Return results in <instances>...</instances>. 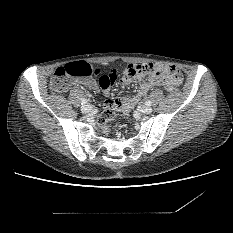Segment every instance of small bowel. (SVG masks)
Instances as JSON below:
<instances>
[{
	"label": "small bowel",
	"mask_w": 233,
	"mask_h": 233,
	"mask_svg": "<svg viewBox=\"0 0 233 233\" xmlns=\"http://www.w3.org/2000/svg\"><path fill=\"white\" fill-rule=\"evenodd\" d=\"M164 63H152V65L157 67V71L165 72L160 69V66ZM167 75H162L160 77H152L151 79L145 81L141 84L138 92L131 97H116L113 99H108L104 102L105 109H113V108H127L130 106H134L139 102L143 95H145L151 88L155 86H160L165 89L171 90L176 85L180 83L181 73L177 69L173 72H166ZM116 80V72L114 70H110L107 73L103 74L98 81L94 79H77L75 80V84L79 86H83L88 90H95L96 88H100L105 95L110 93V88L114 84ZM132 80L124 81L125 84L131 83Z\"/></svg>",
	"instance_id": "c3829d8e"
}]
</instances>
